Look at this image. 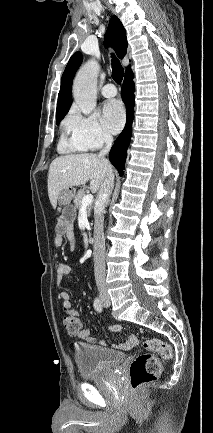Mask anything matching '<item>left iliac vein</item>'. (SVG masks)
<instances>
[{
    "label": "left iliac vein",
    "mask_w": 213,
    "mask_h": 433,
    "mask_svg": "<svg viewBox=\"0 0 213 433\" xmlns=\"http://www.w3.org/2000/svg\"><path fill=\"white\" fill-rule=\"evenodd\" d=\"M103 306L106 308L110 306V298L107 295L103 299Z\"/></svg>",
    "instance_id": "obj_1"
}]
</instances>
